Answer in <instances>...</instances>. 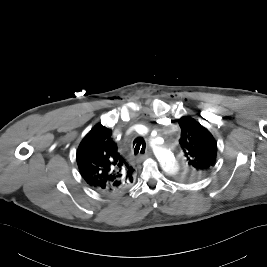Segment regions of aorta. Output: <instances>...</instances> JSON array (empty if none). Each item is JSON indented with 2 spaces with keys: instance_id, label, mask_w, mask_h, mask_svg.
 I'll list each match as a JSON object with an SVG mask.
<instances>
[{
  "instance_id": "aorta-1",
  "label": "aorta",
  "mask_w": 267,
  "mask_h": 267,
  "mask_svg": "<svg viewBox=\"0 0 267 267\" xmlns=\"http://www.w3.org/2000/svg\"><path fill=\"white\" fill-rule=\"evenodd\" d=\"M157 155L167 173L175 175L178 172V161L172 151L165 148L158 151Z\"/></svg>"
}]
</instances>
